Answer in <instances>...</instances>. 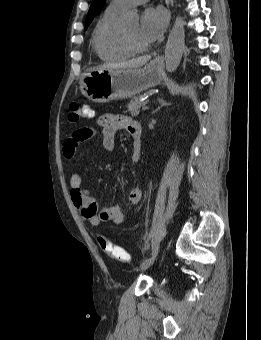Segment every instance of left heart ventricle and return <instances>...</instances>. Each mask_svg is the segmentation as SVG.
Returning a JSON list of instances; mask_svg holds the SVG:
<instances>
[{
  "label": "left heart ventricle",
  "mask_w": 261,
  "mask_h": 340,
  "mask_svg": "<svg viewBox=\"0 0 261 340\" xmlns=\"http://www.w3.org/2000/svg\"><path fill=\"white\" fill-rule=\"evenodd\" d=\"M125 32L135 45L139 47L147 46V43L143 40V38L140 35L139 25L137 23L125 28Z\"/></svg>",
  "instance_id": "1"
}]
</instances>
